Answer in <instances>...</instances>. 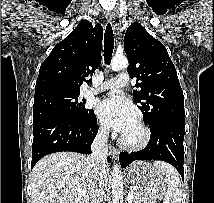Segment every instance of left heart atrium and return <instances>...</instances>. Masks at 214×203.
<instances>
[{"instance_id": "left-heart-atrium-1", "label": "left heart atrium", "mask_w": 214, "mask_h": 203, "mask_svg": "<svg viewBox=\"0 0 214 203\" xmlns=\"http://www.w3.org/2000/svg\"><path fill=\"white\" fill-rule=\"evenodd\" d=\"M96 112L105 125L123 134L132 130L138 123L135 108L119 92H113L102 100L98 104Z\"/></svg>"}]
</instances>
